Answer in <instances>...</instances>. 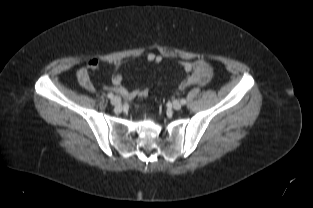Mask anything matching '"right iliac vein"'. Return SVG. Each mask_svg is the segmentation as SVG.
<instances>
[{"label": "right iliac vein", "instance_id": "63e3f726", "mask_svg": "<svg viewBox=\"0 0 313 208\" xmlns=\"http://www.w3.org/2000/svg\"><path fill=\"white\" fill-rule=\"evenodd\" d=\"M111 103L112 105H114L115 107H120L121 106V98L119 96H114L111 99Z\"/></svg>", "mask_w": 313, "mask_h": 208}]
</instances>
